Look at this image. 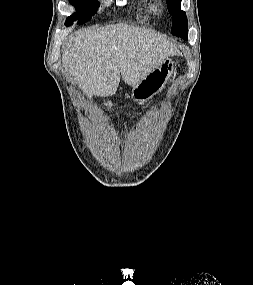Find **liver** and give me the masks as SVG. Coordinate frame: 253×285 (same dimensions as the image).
I'll return each mask as SVG.
<instances>
[{"mask_svg": "<svg viewBox=\"0 0 253 285\" xmlns=\"http://www.w3.org/2000/svg\"><path fill=\"white\" fill-rule=\"evenodd\" d=\"M179 53L163 35L119 23L80 32L63 49L62 63L88 98L103 97L115 94L120 75L135 86Z\"/></svg>", "mask_w": 253, "mask_h": 285, "instance_id": "obj_1", "label": "liver"}]
</instances>
